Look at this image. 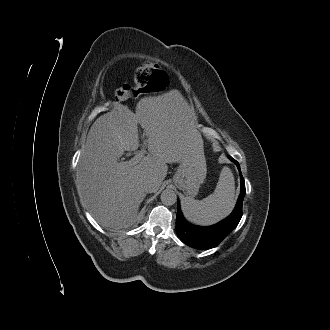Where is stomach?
Listing matches in <instances>:
<instances>
[{"mask_svg": "<svg viewBox=\"0 0 330 330\" xmlns=\"http://www.w3.org/2000/svg\"><path fill=\"white\" fill-rule=\"evenodd\" d=\"M207 167L204 151L197 150L185 156L173 177L175 186L188 197H194L206 178Z\"/></svg>", "mask_w": 330, "mask_h": 330, "instance_id": "0dacf381", "label": "stomach"}]
</instances>
